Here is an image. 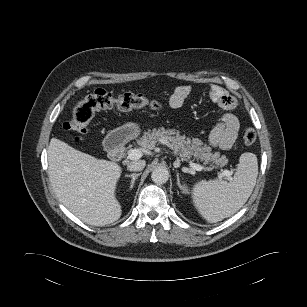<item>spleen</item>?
Listing matches in <instances>:
<instances>
[{"label": "spleen", "mask_w": 307, "mask_h": 307, "mask_svg": "<svg viewBox=\"0 0 307 307\" xmlns=\"http://www.w3.org/2000/svg\"><path fill=\"white\" fill-rule=\"evenodd\" d=\"M258 176L257 157L243 153L234 177L224 180H202L192 190L193 203L201 216L216 223L235 214L248 200Z\"/></svg>", "instance_id": "obj_1"}]
</instances>
